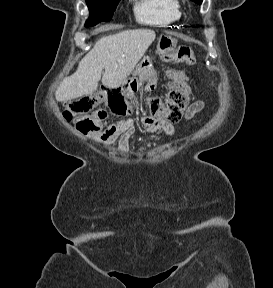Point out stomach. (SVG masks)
<instances>
[{"mask_svg":"<svg viewBox=\"0 0 273 288\" xmlns=\"http://www.w3.org/2000/svg\"><path fill=\"white\" fill-rule=\"evenodd\" d=\"M177 45V40L168 35H161L157 41V53L163 59L170 56ZM138 78L126 79L122 83V88L129 93L138 91H151L154 89L155 70L150 57L145 56L138 63L135 69ZM144 83H147L144 86Z\"/></svg>","mask_w":273,"mask_h":288,"instance_id":"1","label":"stomach"}]
</instances>
